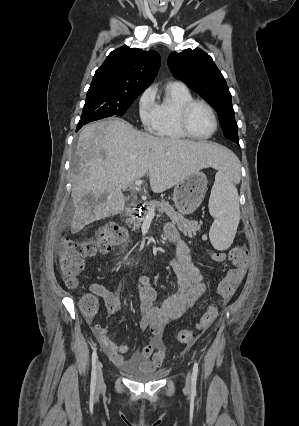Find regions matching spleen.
Instances as JSON below:
<instances>
[{
	"label": "spleen",
	"mask_w": 299,
	"mask_h": 426,
	"mask_svg": "<svg viewBox=\"0 0 299 426\" xmlns=\"http://www.w3.org/2000/svg\"><path fill=\"white\" fill-rule=\"evenodd\" d=\"M209 211L214 217L209 231L211 244L217 250H226L235 238L240 221V208L238 191L225 168L220 169L215 176Z\"/></svg>",
	"instance_id": "obj_1"
}]
</instances>
